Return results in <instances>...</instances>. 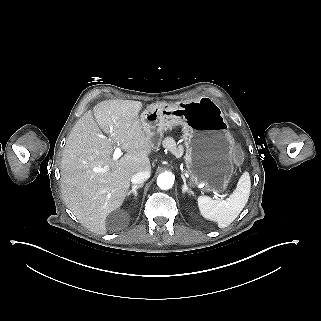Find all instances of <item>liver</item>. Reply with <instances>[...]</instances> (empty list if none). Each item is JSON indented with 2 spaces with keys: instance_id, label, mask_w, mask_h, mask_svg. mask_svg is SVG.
Returning a JSON list of instances; mask_svg holds the SVG:
<instances>
[{
  "instance_id": "liver-1",
  "label": "liver",
  "mask_w": 321,
  "mask_h": 321,
  "mask_svg": "<svg viewBox=\"0 0 321 321\" xmlns=\"http://www.w3.org/2000/svg\"><path fill=\"white\" fill-rule=\"evenodd\" d=\"M142 109L137 100L99 102L76 122L67 139L61 161L63 199L94 233L107 234V218L122 207L131 177L152 171L149 155L154 147L140 117ZM111 125L112 139L100 130L110 133ZM115 146L126 152L121 158H114Z\"/></svg>"
}]
</instances>
